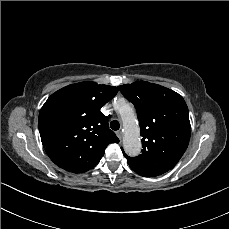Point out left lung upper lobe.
<instances>
[{
  "label": "left lung upper lobe",
  "mask_w": 229,
  "mask_h": 229,
  "mask_svg": "<svg viewBox=\"0 0 229 229\" xmlns=\"http://www.w3.org/2000/svg\"><path fill=\"white\" fill-rule=\"evenodd\" d=\"M136 108L140 124L142 154L129 157V166L139 175L153 177L172 169L190 140L188 107L181 95L166 87L137 81L119 86Z\"/></svg>",
  "instance_id": "1"
}]
</instances>
